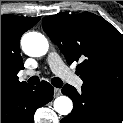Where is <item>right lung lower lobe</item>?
<instances>
[{"label":"right lung lower lobe","mask_w":123,"mask_h":123,"mask_svg":"<svg viewBox=\"0 0 123 123\" xmlns=\"http://www.w3.org/2000/svg\"><path fill=\"white\" fill-rule=\"evenodd\" d=\"M53 87L46 81L14 94L1 95V123H33L37 108L53 99Z\"/></svg>","instance_id":"1"}]
</instances>
